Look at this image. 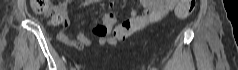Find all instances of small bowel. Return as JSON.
I'll use <instances>...</instances> for the list:
<instances>
[{
	"mask_svg": "<svg viewBox=\"0 0 238 70\" xmlns=\"http://www.w3.org/2000/svg\"><path fill=\"white\" fill-rule=\"evenodd\" d=\"M180 0H142V5L145 8L144 14H139L133 10L130 14V19L118 25L112 34L113 27L116 23V17L113 13H106L101 22L93 29V34L98 38L101 45L109 44L115 46L119 40H124L132 33L141 30L149 23H154L164 18L170 11L176 10L177 3ZM96 0H86L85 4H93ZM70 0L62 1L56 8V11L66 20L67 9L70 5ZM57 39L65 45L82 50L85 47L91 46L93 41L86 37L81 31H78L76 38H72L64 31H59Z\"/></svg>",
	"mask_w": 238,
	"mask_h": 70,
	"instance_id": "small-bowel-1",
	"label": "small bowel"
}]
</instances>
